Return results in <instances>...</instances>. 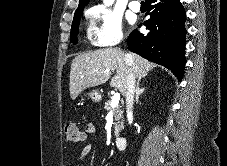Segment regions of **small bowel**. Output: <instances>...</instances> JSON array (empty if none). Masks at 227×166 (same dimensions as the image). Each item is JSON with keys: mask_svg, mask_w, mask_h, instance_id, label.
Listing matches in <instances>:
<instances>
[{"mask_svg": "<svg viewBox=\"0 0 227 166\" xmlns=\"http://www.w3.org/2000/svg\"><path fill=\"white\" fill-rule=\"evenodd\" d=\"M95 130H96V128H95V125L94 124L89 123V124L86 125V128H85L86 133L92 134V133L95 132ZM92 150H93V145L92 144L86 145L82 149V151L80 152V154L78 155L77 160L78 161L83 160Z\"/></svg>", "mask_w": 227, "mask_h": 166, "instance_id": "c3829d8e", "label": "small bowel"}]
</instances>
